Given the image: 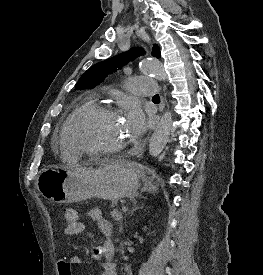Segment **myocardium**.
I'll return each instance as SVG.
<instances>
[{
    "instance_id": "f54148a6",
    "label": "myocardium",
    "mask_w": 263,
    "mask_h": 275,
    "mask_svg": "<svg viewBox=\"0 0 263 275\" xmlns=\"http://www.w3.org/2000/svg\"><path fill=\"white\" fill-rule=\"evenodd\" d=\"M99 114H107L111 116H117L119 117V113L117 110L114 108L108 106V105H103V104H95L91 106L90 108L86 109L83 111L80 115L76 117L74 120L70 132L67 136V140L69 141L70 145L72 148L75 150V152L78 155H85V156H109V155H115L123 152L126 147L127 143L120 144L116 147L113 148H108V149H99V150H93V149H87L82 146H80L76 139V133L79 128V126L87 119L99 115Z\"/></svg>"
}]
</instances>
